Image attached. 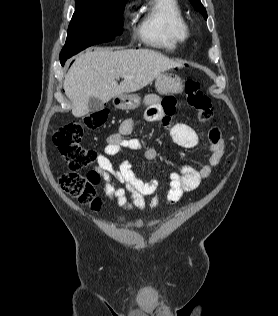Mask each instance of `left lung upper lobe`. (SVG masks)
<instances>
[{"label": "left lung upper lobe", "instance_id": "obj_1", "mask_svg": "<svg viewBox=\"0 0 278 316\" xmlns=\"http://www.w3.org/2000/svg\"><path fill=\"white\" fill-rule=\"evenodd\" d=\"M191 4L193 5L194 9L196 11H199L205 19H207V12L205 8L203 7L202 3L200 0H190Z\"/></svg>", "mask_w": 278, "mask_h": 316}]
</instances>
